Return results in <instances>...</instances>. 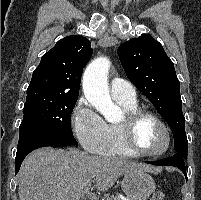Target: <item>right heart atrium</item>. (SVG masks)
I'll return each instance as SVG.
<instances>
[{
    "label": "right heart atrium",
    "mask_w": 201,
    "mask_h": 200,
    "mask_svg": "<svg viewBox=\"0 0 201 200\" xmlns=\"http://www.w3.org/2000/svg\"><path fill=\"white\" fill-rule=\"evenodd\" d=\"M72 128L82 147L94 154H102L106 147L107 124L91 104L83 99L72 113Z\"/></svg>",
    "instance_id": "d8ad5b80"
}]
</instances>
